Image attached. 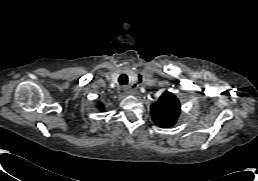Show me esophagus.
<instances>
[{
	"instance_id": "1",
	"label": "esophagus",
	"mask_w": 258,
	"mask_h": 181,
	"mask_svg": "<svg viewBox=\"0 0 258 181\" xmlns=\"http://www.w3.org/2000/svg\"><path fill=\"white\" fill-rule=\"evenodd\" d=\"M126 92H128V91H130L131 89L129 88V87H127V86H124V88H123Z\"/></svg>"
}]
</instances>
